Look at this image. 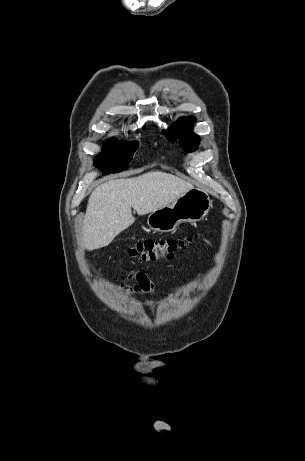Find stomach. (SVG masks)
I'll return each mask as SVG.
<instances>
[{"label": "stomach", "instance_id": "0dacf381", "mask_svg": "<svg viewBox=\"0 0 305 461\" xmlns=\"http://www.w3.org/2000/svg\"><path fill=\"white\" fill-rule=\"evenodd\" d=\"M212 202L207 193L193 188L165 207L151 212L147 219L150 229L171 232L182 222H197L210 210Z\"/></svg>", "mask_w": 305, "mask_h": 461}]
</instances>
